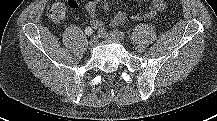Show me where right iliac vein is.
Segmentation results:
<instances>
[{
    "mask_svg": "<svg viewBox=\"0 0 217 121\" xmlns=\"http://www.w3.org/2000/svg\"><path fill=\"white\" fill-rule=\"evenodd\" d=\"M98 42H99V38H98L97 36H94V37H92V38L90 39L89 45H90L91 47H94V46H96V45L98 44Z\"/></svg>",
    "mask_w": 217,
    "mask_h": 121,
    "instance_id": "obj_1",
    "label": "right iliac vein"
}]
</instances>
